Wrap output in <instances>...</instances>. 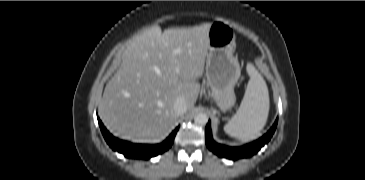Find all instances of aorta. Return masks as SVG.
Listing matches in <instances>:
<instances>
[{
  "label": "aorta",
  "mask_w": 365,
  "mask_h": 180,
  "mask_svg": "<svg viewBox=\"0 0 365 180\" xmlns=\"http://www.w3.org/2000/svg\"><path fill=\"white\" fill-rule=\"evenodd\" d=\"M194 122L198 125H206L208 116L205 113H199L194 117Z\"/></svg>",
  "instance_id": "1"
}]
</instances>
